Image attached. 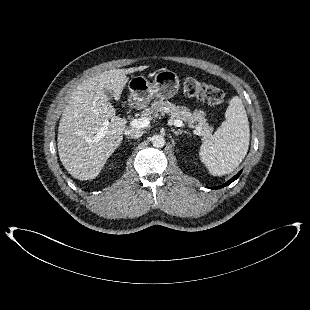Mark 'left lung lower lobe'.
I'll use <instances>...</instances> for the list:
<instances>
[{"mask_svg":"<svg viewBox=\"0 0 310 310\" xmlns=\"http://www.w3.org/2000/svg\"><path fill=\"white\" fill-rule=\"evenodd\" d=\"M242 171H240L238 174H236L232 179H230L228 182H226L225 184L221 185V186H218V187H211V189H219V188H222V187H225L227 185H229L230 183H232L233 181H235L239 175L241 174Z\"/></svg>","mask_w":310,"mask_h":310,"instance_id":"1","label":"left lung lower lobe"}]
</instances>
